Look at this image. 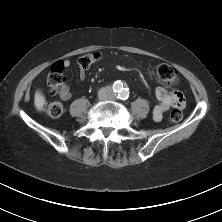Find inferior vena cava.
I'll return each instance as SVG.
<instances>
[{
	"label": "inferior vena cava",
	"instance_id": "obj_1",
	"mask_svg": "<svg viewBox=\"0 0 222 222\" xmlns=\"http://www.w3.org/2000/svg\"><path fill=\"white\" fill-rule=\"evenodd\" d=\"M111 92L110 88L108 87H104V88H101L98 92V96L100 99L102 100H106V99H109V93Z\"/></svg>",
	"mask_w": 222,
	"mask_h": 222
}]
</instances>
